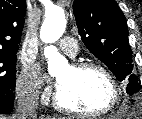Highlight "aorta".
<instances>
[{
  "instance_id": "1",
  "label": "aorta",
  "mask_w": 142,
  "mask_h": 119,
  "mask_svg": "<svg viewBox=\"0 0 142 119\" xmlns=\"http://www.w3.org/2000/svg\"><path fill=\"white\" fill-rule=\"evenodd\" d=\"M66 28V16L61 7L55 6L45 13V20L40 29V38L45 43H54L64 33ZM44 55L48 60V71L54 75L62 67L67 66V60L53 45L44 49Z\"/></svg>"
}]
</instances>
